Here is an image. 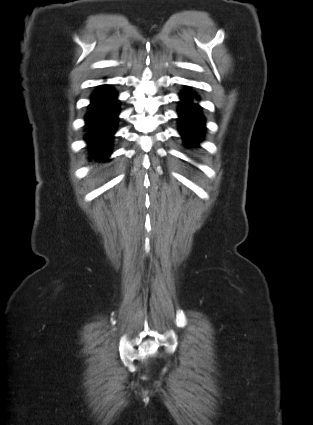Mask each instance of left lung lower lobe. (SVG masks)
I'll return each mask as SVG.
<instances>
[{"label":"left lung lower lobe","instance_id":"left-lung-lower-lobe-1","mask_svg":"<svg viewBox=\"0 0 313 425\" xmlns=\"http://www.w3.org/2000/svg\"><path fill=\"white\" fill-rule=\"evenodd\" d=\"M180 99L178 110L180 134L185 143L196 145L202 140L205 130V119L200 112L201 107L194 103V99L198 100V96L186 90L180 94Z\"/></svg>","mask_w":313,"mask_h":425}]
</instances>
